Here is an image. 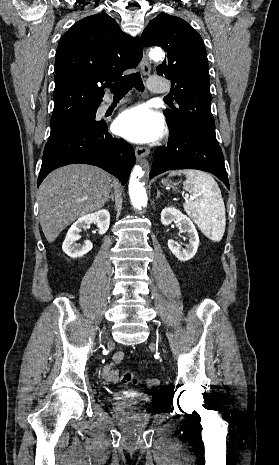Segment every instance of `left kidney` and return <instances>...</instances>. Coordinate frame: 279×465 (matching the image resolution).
Segmentation results:
<instances>
[{"instance_id":"5707ae66","label":"left kidney","mask_w":279,"mask_h":465,"mask_svg":"<svg viewBox=\"0 0 279 465\" xmlns=\"http://www.w3.org/2000/svg\"><path fill=\"white\" fill-rule=\"evenodd\" d=\"M161 222L163 225H169L175 222L180 229L187 232L189 243L186 249L180 250L176 247L174 240H168V247L175 257L181 262H185L194 257L199 246V236L195 225L186 215L182 214L174 207L164 208L161 212Z\"/></svg>"}]
</instances>
